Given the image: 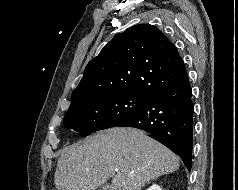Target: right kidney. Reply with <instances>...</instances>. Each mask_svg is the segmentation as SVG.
Here are the masks:
<instances>
[{
  "instance_id": "right-kidney-1",
  "label": "right kidney",
  "mask_w": 238,
  "mask_h": 190,
  "mask_svg": "<svg viewBox=\"0 0 238 190\" xmlns=\"http://www.w3.org/2000/svg\"><path fill=\"white\" fill-rule=\"evenodd\" d=\"M147 190H162V188L159 185H152L151 187H149Z\"/></svg>"
}]
</instances>
